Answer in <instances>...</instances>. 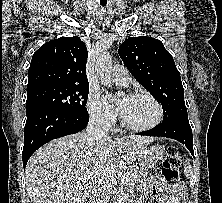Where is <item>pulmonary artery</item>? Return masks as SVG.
Returning a JSON list of instances; mask_svg holds the SVG:
<instances>
[{
  "mask_svg": "<svg viewBox=\"0 0 222 203\" xmlns=\"http://www.w3.org/2000/svg\"><path fill=\"white\" fill-rule=\"evenodd\" d=\"M112 80L119 86H127L129 83L128 70L122 65H116L112 69Z\"/></svg>",
  "mask_w": 222,
  "mask_h": 203,
  "instance_id": "obj_1",
  "label": "pulmonary artery"
}]
</instances>
